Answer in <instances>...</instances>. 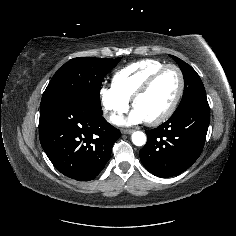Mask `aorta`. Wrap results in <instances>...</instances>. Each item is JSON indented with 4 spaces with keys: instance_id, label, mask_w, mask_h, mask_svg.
<instances>
[{
    "instance_id": "1",
    "label": "aorta",
    "mask_w": 236,
    "mask_h": 236,
    "mask_svg": "<svg viewBox=\"0 0 236 236\" xmlns=\"http://www.w3.org/2000/svg\"><path fill=\"white\" fill-rule=\"evenodd\" d=\"M131 139H132L133 144L136 146L145 145L146 140H147L146 135L141 131L133 132Z\"/></svg>"
}]
</instances>
